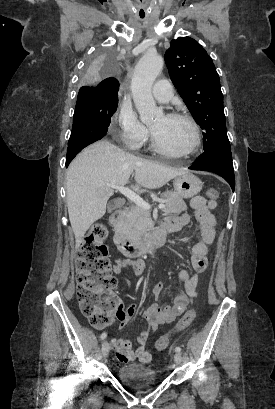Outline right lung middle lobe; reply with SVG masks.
Here are the masks:
<instances>
[{
  "label": "right lung middle lobe",
  "instance_id": "dd1d6c3e",
  "mask_svg": "<svg viewBox=\"0 0 275 409\" xmlns=\"http://www.w3.org/2000/svg\"><path fill=\"white\" fill-rule=\"evenodd\" d=\"M119 50H91L82 71V85H100L101 79H109L110 73H119ZM118 107V97H97L78 94L73 116V127L67 148L66 167L86 146L100 140L107 133L112 115Z\"/></svg>",
  "mask_w": 275,
  "mask_h": 409
}]
</instances>
